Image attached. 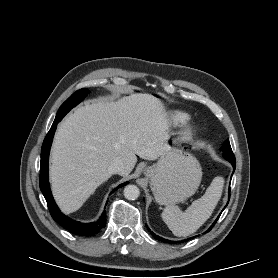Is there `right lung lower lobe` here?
Returning a JSON list of instances; mask_svg holds the SVG:
<instances>
[{
    "label": "right lung lower lobe",
    "instance_id": "98d812e1",
    "mask_svg": "<svg viewBox=\"0 0 278 278\" xmlns=\"http://www.w3.org/2000/svg\"><path fill=\"white\" fill-rule=\"evenodd\" d=\"M64 116H56L51 129L49 130L48 134L46 135L42 149H41V167H40V189L47 201L49 211L51 213V216L53 219L59 223L61 226H63L68 231L76 234V235H83V236H90L93 234H96L99 232L102 228L106 225V212L104 211L100 218L96 222L92 223H80L77 221H74L64 214L60 212L58 207L56 206L54 199L52 197L49 183H48V158H49V151L52 143V139L54 136V132L56 130L58 122L61 121V119ZM127 184L123 183L116 187L114 191L122 186H125Z\"/></svg>",
    "mask_w": 278,
    "mask_h": 278
}]
</instances>
